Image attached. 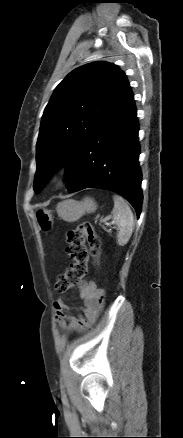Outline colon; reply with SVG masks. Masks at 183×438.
I'll return each mask as SVG.
<instances>
[{"label":"colon","mask_w":183,"mask_h":438,"mask_svg":"<svg viewBox=\"0 0 183 438\" xmlns=\"http://www.w3.org/2000/svg\"><path fill=\"white\" fill-rule=\"evenodd\" d=\"M67 254L71 263L68 270L60 274L54 284L56 293H65L72 289L87 276L89 261L98 263L101 242L98 234L90 223H81L67 233Z\"/></svg>","instance_id":"5ec220e1"}]
</instances>
